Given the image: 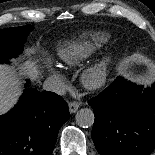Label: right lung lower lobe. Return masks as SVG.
Segmentation results:
<instances>
[{
    "instance_id": "98d812e1",
    "label": "right lung lower lobe",
    "mask_w": 155,
    "mask_h": 155,
    "mask_svg": "<svg viewBox=\"0 0 155 155\" xmlns=\"http://www.w3.org/2000/svg\"><path fill=\"white\" fill-rule=\"evenodd\" d=\"M28 82L18 104L0 116V155H51L60 127L70 118L62 97L27 88Z\"/></svg>"
}]
</instances>
